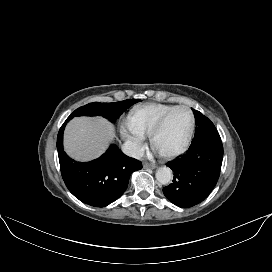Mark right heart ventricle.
<instances>
[{"mask_svg": "<svg viewBox=\"0 0 272 272\" xmlns=\"http://www.w3.org/2000/svg\"><path fill=\"white\" fill-rule=\"evenodd\" d=\"M173 107L175 106L163 103L138 106L127 117L128 127L143 137L148 136L160 117Z\"/></svg>", "mask_w": 272, "mask_h": 272, "instance_id": "e07e8e85", "label": "right heart ventricle"}]
</instances>
